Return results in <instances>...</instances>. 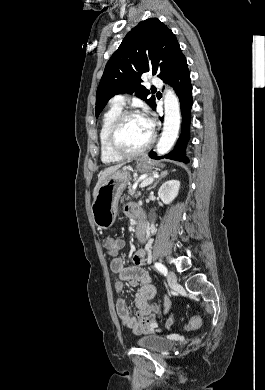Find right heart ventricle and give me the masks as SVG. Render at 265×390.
<instances>
[{
    "mask_svg": "<svg viewBox=\"0 0 265 390\" xmlns=\"http://www.w3.org/2000/svg\"><path fill=\"white\" fill-rule=\"evenodd\" d=\"M121 111L122 106L112 104L103 114L101 120L99 129L100 158L101 161L105 164L117 163L123 159L110 149L108 143L109 130Z\"/></svg>",
    "mask_w": 265,
    "mask_h": 390,
    "instance_id": "1",
    "label": "right heart ventricle"
}]
</instances>
